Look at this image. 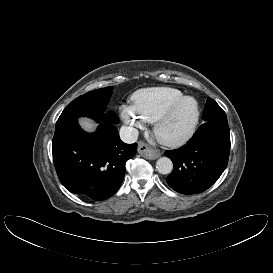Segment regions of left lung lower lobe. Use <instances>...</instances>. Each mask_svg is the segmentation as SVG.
I'll list each match as a JSON object with an SVG mask.
<instances>
[{
    "label": "left lung lower lobe",
    "mask_w": 273,
    "mask_h": 273,
    "mask_svg": "<svg viewBox=\"0 0 273 273\" xmlns=\"http://www.w3.org/2000/svg\"><path fill=\"white\" fill-rule=\"evenodd\" d=\"M229 152L228 122L204 123L186 145L165 152L174 166L166 182L182 194L201 193L221 176L227 166Z\"/></svg>",
    "instance_id": "left-lung-lower-lobe-1"
}]
</instances>
